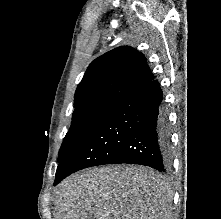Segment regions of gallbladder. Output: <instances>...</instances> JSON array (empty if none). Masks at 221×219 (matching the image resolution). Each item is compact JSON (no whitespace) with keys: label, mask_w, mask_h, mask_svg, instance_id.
<instances>
[{"label":"gallbladder","mask_w":221,"mask_h":219,"mask_svg":"<svg viewBox=\"0 0 221 219\" xmlns=\"http://www.w3.org/2000/svg\"><path fill=\"white\" fill-rule=\"evenodd\" d=\"M81 219H94V216L90 213H86Z\"/></svg>","instance_id":"gallbladder-1"}]
</instances>
